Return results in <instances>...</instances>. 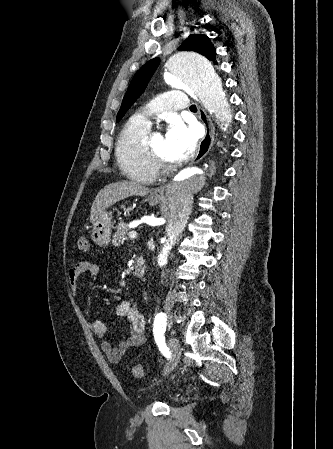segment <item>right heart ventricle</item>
Here are the masks:
<instances>
[{
    "label": "right heart ventricle",
    "mask_w": 333,
    "mask_h": 449,
    "mask_svg": "<svg viewBox=\"0 0 333 449\" xmlns=\"http://www.w3.org/2000/svg\"><path fill=\"white\" fill-rule=\"evenodd\" d=\"M149 130V125L134 117L125 124L115 145V156L120 169L130 179L144 184L155 181L159 172L145 148Z\"/></svg>",
    "instance_id": "obj_1"
}]
</instances>
